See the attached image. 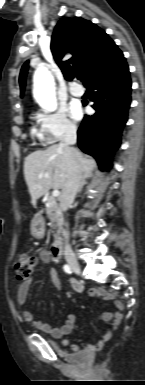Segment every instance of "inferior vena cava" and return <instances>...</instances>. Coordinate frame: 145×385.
<instances>
[{
    "label": "inferior vena cava",
    "instance_id": "1",
    "mask_svg": "<svg viewBox=\"0 0 145 385\" xmlns=\"http://www.w3.org/2000/svg\"><path fill=\"white\" fill-rule=\"evenodd\" d=\"M76 131V126L71 124L67 125L65 134L63 135L62 140L60 142V146L68 151L67 159L69 167L68 177L62 188V192L59 198L60 210L62 212H66L70 204L73 203L82 179L78 157L75 154V148L71 147L76 143L77 140ZM66 227H68V224H66ZM63 234L65 236L64 255L66 257L71 256L73 255V251L69 244L68 230H64Z\"/></svg>",
    "mask_w": 145,
    "mask_h": 385
}]
</instances>
